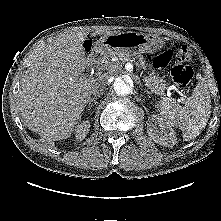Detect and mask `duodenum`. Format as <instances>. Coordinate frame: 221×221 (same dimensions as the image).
Wrapping results in <instances>:
<instances>
[{
  "label": "duodenum",
  "instance_id": "410a0bca",
  "mask_svg": "<svg viewBox=\"0 0 221 221\" xmlns=\"http://www.w3.org/2000/svg\"><path fill=\"white\" fill-rule=\"evenodd\" d=\"M100 58H101L100 52H98V51L91 52L88 55V63L90 65H94L99 62Z\"/></svg>",
  "mask_w": 221,
  "mask_h": 221
}]
</instances>
